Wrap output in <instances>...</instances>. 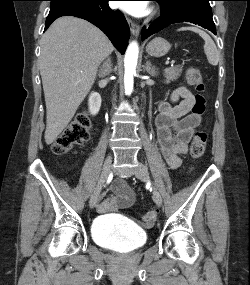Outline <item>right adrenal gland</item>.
Wrapping results in <instances>:
<instances>
[{
    "instance_id": "2a0ac1e0",
    "label": "right adrenal gland",
    "mask_w": 250,
    "mask_h": 285,
    "mask_svg": "<svg viewBox=\"0 0 250 285\" xmlns=\"http://www.w3.org/2000/svg\"><path fill=\"white\" fill-rule=\"evenodd\" d=\"M112 70V64H111V59L110 57H108L103 65L99 68V71H98V76L100 78H103L105 77L106 75H108Z\"/></svg>"
}]
</instances>
